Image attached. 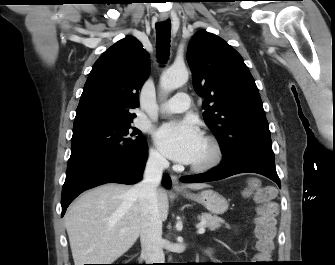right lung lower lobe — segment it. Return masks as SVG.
<instances>
[{
	"mask_svg": "<svg viewBox=\"0 0 335 265\" xmlns=\"http://www.w3.org/2000/svg\"><path fill=\"white\" fill-rule=\"evenodd\" d=\"M147 146L132 156H88L68 162L66 179L62 188L63 217L68 205L82 192L92 187L116 182L134 184L141 180L147 160ZM163 183L171 186L169 177Z\"/></svg>",
	"mask_w": 335,
	"mask_h": 265,
	"instance_id": "1",
	"label": "right lung lower lobe"
}]
</instances>
